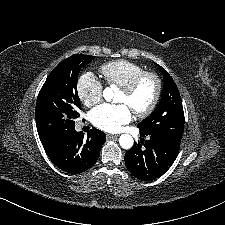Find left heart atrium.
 <instances>
[{
    "label": "left heart atrium",
    "instance_id": "1",
    "mask_svg": "<svg viewBox=\"0 0 225 225\" xmlns=\"http://www.w3.org/2000/svg\"><path fill=\"white\" fill-rule=\"evenodd\" d=\"M132 111L125 104H101L90 113L92 124L107 132H117L130 122Z\"/></svg>",
    "mask_w": 225,
    "mask_h": 225
}]
</instances>
